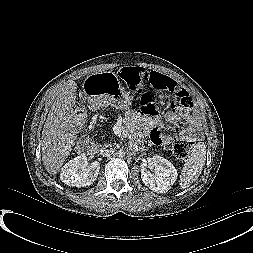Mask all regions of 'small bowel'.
I'll list each match as a JSON object with an SVG mask.
<instances>
[{
    "label": "small bowel",
    "instance_id": "c3829d8e",
    "mask_svg": "<svg viewBox=\"0 0 253 253\" xmlns=\"http://www.w3.org/2000/svg\"><path fill=\"white\" fill-rule=\"evenodd\" d=\"M153 73H156L166 79L170 86L180 89L177 81L173 78L157 72ZM184 92L188 94L186 91ZM164 119L174 124L179 122L181 119H184L186 121L188 129L185 130L184 127H177V131L182 134L187 131H192V128H196L199 123L197 114L187 109H178L175 111L166 112L164 114ZM126 121L136 133H149L150 139L154 144L169 145L172 141V138L170 136L164 135L161 132L162 120L160 118L145 117L133 112L126 115Z\"/></svg>",
    "mask_w": 253,
    "mask_h": 253
}]
</instances>
